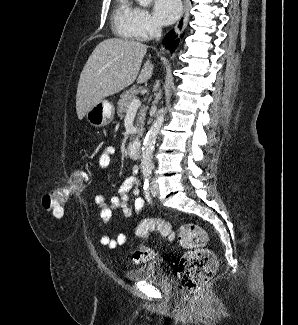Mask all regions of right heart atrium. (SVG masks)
Returning <instances> with one entry per match:
<instances>
[{
	"label": "right heart atrium",
	"instance_id": "1",
	"mask_svg": "<svg viewBox=\"0 0 298 325\" xmlns=\"http://www.w3.org/2000/svg\"><path fill=\"white\" fill-rule=\"evenodd\" d=\"M135 24L137 25H131L129 30L132 41H153L154 30L159 28L146 8H137Z\"/></svg>",
	"mask_w": 298,
	"mask_h": 325
}]
</instances>
